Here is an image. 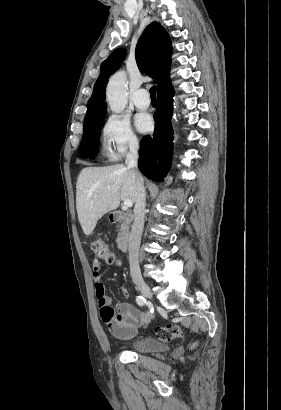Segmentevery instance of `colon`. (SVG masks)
Returning <instances> with one entry per match:
<instances>
[{
  "instance_id": "obj_1",
  "label": "colon",
  "mask_w": 281,
  "mask_h": 410,
  "mask_svg": "<svg viewBox=\"0 0 281 410\" xmlns=\"http://www.w3.org/2000/svg\"><path fill=\"white\" fill-rule=\"evenodd\" d=\"M91 248L98 258L103 259L109 264H119V258L108 249L104 241H102L101 239L94 240L92 242ZM104 314L105 319L103 321L107 325V327L111 329L114 326V314L109 310H105ZM155 334L158 340L162 342H171L182 337L181 328L178 325L174 324L157 327L155 329ZM193 346H195V344Z\"/></svg>"
}]
</instances>
